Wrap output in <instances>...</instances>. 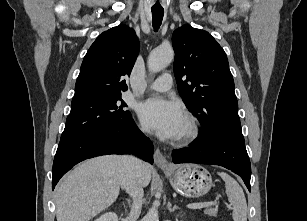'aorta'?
<instances>
[{
    "instance_id": "obj_1",
    "label": "aorta",
    "mask_w": 307,
    "mask_h": 221,
    "mask_svg": "<svg viewBox=\"0 0 307 221\" xmlns=\"http://www.w3.org/2000/svg\"><path fill=\"white\" fill-rule=\"evenodd\" d=\"M174 58L171 47H159L154 49L147 61L148 69L152 73H157L166 68ZM144 221H159L158 209L155 204L147 212Z\"/></svg>"
}]
</instances>
